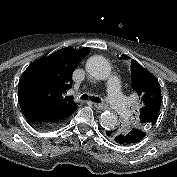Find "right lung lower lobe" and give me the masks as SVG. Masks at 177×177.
<instances>
[{
    "instance_id": "right-lung-lower-lobe-1",
    "label": "right lung lower lobe",
    "mask_w": 177,
    "mask_h": 177,
    "mask_svg": "<svg viewBox=\"0 0 177 177\" xmlns=\"http://www.w3.org/2000/svg\"><path fill=\"white\" fill-rule=\"evenodd\" d=\"M24 115L27 117L28 122L35 128L40 130H50L61 126L68 119L61 118L57 115H49L45 112L34 111L31 109H22Z\"/></svg>"
}]
</instances>
